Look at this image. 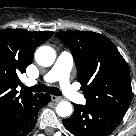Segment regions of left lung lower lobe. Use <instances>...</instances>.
Segmentation results:
<instances>
[{
    "instance_id": "0a47b994",
    "label": "left lung lower lobe",
    "mask_w": 136,
    "mask_h": 136,
    "mask_svg": "<svg viewBox=\"0 0 136 136\" xmlns=\"http://www.w3.org/2000/svg\"><path fill=\"white\" fill-rule=\"evenodd\" d=\"M74 113L63 120L65 127L75 136H106L124 116L119 110L74 104Z\"/></svg>"
}]
</instances>
